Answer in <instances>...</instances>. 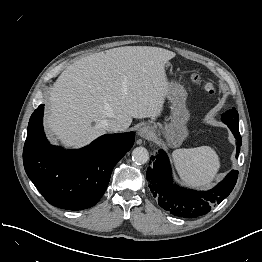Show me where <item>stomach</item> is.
I'll return each instance as SVG.
<instances>
[{
    "label": "stomach",
    "mask_w": 262,
    "mask_h": 262,
    "mask_svg": "<svg viewBox=\"0 0 262 262\" xmlns=\"http://www.w3.org/2000/svg\"><path fill=\"white\" fill-rule=\"evenodd\" d=\"M167 98L171 103L170 123L154 128L158 129V134L164 135L168 147H179L188 136L186 123L190 115L186 108L187 92L177 82H169Z\"/></svg>",
    "instance_id": "0dacf381"
}]
</instances>
